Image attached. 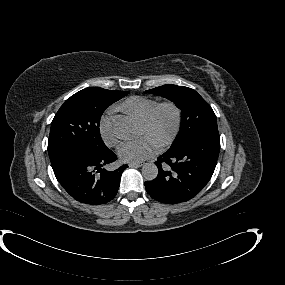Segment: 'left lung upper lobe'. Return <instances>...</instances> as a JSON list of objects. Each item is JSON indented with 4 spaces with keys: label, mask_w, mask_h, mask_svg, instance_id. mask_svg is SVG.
I'll return each mask as SVG.
<instances>
[{
    "label": "left lung upper lobe",
    "mask_w": 285,
    "mask_h": 285,
    "mask_svg": "<svg viewBox=\"0 0 285 285\" xmlns=\"http://www.w3.org/2000/svg\"><path fill=\"white\" fill-rule=\"evenodd\" d=\"M147 92L174 100L182 109L181 128L173 145L183 143L202 132L217 129L215 113L195 90L184 86L163 85Z\"/></svg>",
    "instance_id": "left-lung-upper-lobe-1"
}]
</instances>
